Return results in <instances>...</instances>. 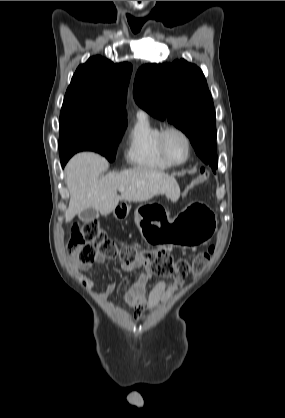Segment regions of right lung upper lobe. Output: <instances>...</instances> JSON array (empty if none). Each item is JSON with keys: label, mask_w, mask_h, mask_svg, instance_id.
Masks as SVG:
<instances>
[{"label": "right lung upper lobe", "mask_w": 285, "mask_h": 418, "mask_svg": "<svg viewBox=\"0 0 285 418\" xmlns=\"http://www.w3.org/2000/svg\"><path fill=\"white\" fill-rule=\"evenodd\" d=\"M132 72L128 62L114 64L101 56L80 65L66 91L62 112L88 113L126 122V95Z\"/></svg>", "instance_id": "cb5924a9"}]
</instances>
